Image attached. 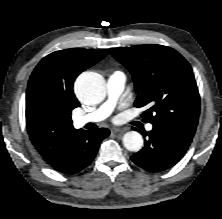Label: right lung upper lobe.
I'll use <instances>...</instances> for the list:
<instances>
[{
    "label": "right lung upper lobe",
    "instance_id": "obj_1",
    "mask_svg": "<svg viewBox=\"0 0 222 219\" xmlns=\"http://www.w3.org/2000/svg\"><path fill=\"white\" fill-rule=\"evenodd\" d=\"M108 50L72 48L53 52L34 69L26 92V126L30 139L52 164L81 129L72 125L71 111L80 106L74 95L76 77L102 60Z\"/></svg>",
    "mask_w": 222,
    "mask_h": 219
}]
</instances>
